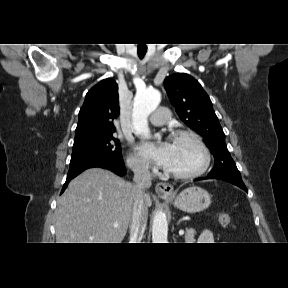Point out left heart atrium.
<instances>
[{
	"label": "left heart atrium",
	"mask_w": 288,
	"mask_h": 288,
	"mask_svg": "<svg viewBox=\"0 0 288 288\" xmlns=\"http://www.w3.org/2000/svg\"><path fill=\"white\" fill-rule=\"evenodd\" d=\"M138 150L142 156L153 161L158 166L166 167L171 157L172 144L169 142L155 144L145 141L139 145Z\"/></svg>",
	"instance_id": "left-heart-atrium-1"
}]
</instances>
